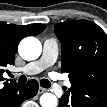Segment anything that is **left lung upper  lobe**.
I'll return each instance as SVG.
<instances>
[{
    "label": "left lung upper lobe",
    "instance_id": "5c2ea615",
    "mask_svg": "<svg viewBox=\"0 0 107 107\" xmlns=\"http://www.w3.org/2000/svg\"><path fill=\"white\" fill-rule=\"evenodd\" d=\"M62 47L61 71L71 84L107 97V35L86 20L58 23L54 27Z\"/></svg>",
    "mask_w": 107,
    "mask_h": 107
}]
</instances>
